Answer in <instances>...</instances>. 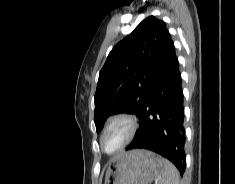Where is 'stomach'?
<instances>
[{"label": "stomach", "instance_id": "1", "mask_svg": "<svg viewBox=\"0 0 235 184\" xmlns=\"http://www.w3.org/2000/svg\"><path fill=\"white\" fill-rule=\"evenodd\" d=\"M163 164L161 156L149 150H130L112 160L104 184H150L160 180Z\"/></svg>", "mask_w": 235, "mask_h": 184}]
</instances>
